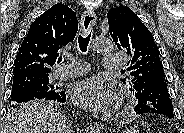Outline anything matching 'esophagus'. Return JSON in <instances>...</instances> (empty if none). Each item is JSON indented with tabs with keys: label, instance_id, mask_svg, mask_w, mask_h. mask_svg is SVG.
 Here are the masks:
<instances>
[{
	"label": "esophagus",
	"instance_id": "34e87169",
	"mask_svg": "<svg viewBox=\"0 0 184 133\" xmlns=\"http://www.w3.org/2000/svg\"><path fill=\"white\" fill-rule=\"evenodd\" d=\"M96 23V14L94 11L86 10L81 17L80 27L83 34H87L92 26ZM89 129L91 132L99 133L101 131V126L97 122L90 124Z\"/></svg>",
	"mask_w": 184,
	"mask_h": 133
}]
</instances>
